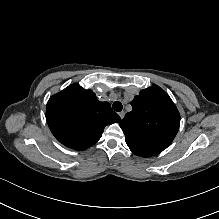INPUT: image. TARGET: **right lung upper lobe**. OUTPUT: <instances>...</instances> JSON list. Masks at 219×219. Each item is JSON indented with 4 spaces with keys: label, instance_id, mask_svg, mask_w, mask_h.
Returning a JSON list of instances; mask_svg holds the SVG:
<instances>
[{
    "label": "right lung upper lobe",
    "instance_id": "right-lung-upper-lobe-1",
    "mask_svg": "<svg viewBox=\"0 0 219 219\" xmlns=\"http://www.w3.org/2000/svg\"><path fill=\"white\" fill-rule=\"evenodd\" d=\"M48 126L63 145L84 150L95 144L106 125L121 118L108 102H100L91 90L74 83L53 95L46 109Z\"/></svg>",
    "mask_w": 219,
    "mask_h": 219
}]
</instances>
